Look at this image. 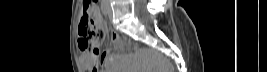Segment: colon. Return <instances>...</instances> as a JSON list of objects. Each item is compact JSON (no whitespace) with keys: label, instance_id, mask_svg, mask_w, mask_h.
<instances>
[{"label":"colon","instance_id":"obj_1","mask_svg":"<svg viewBox=\"0 0 267 72\" xmlns=\"http://www.w3.org/2000/svg\"><path fill=\"white\" fill-rule=\"evenodd\" d=\"M96 1L85 0L81 10L79 22V46L81 50L91 53L98 49L104 41V32L97 26ZM172 68L164 62V72H171Z\"/></svg>","mask_w":267,"mask_h":72}]
</instances>
